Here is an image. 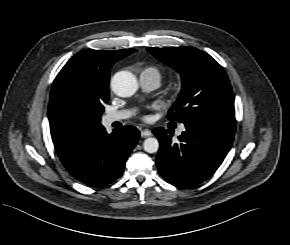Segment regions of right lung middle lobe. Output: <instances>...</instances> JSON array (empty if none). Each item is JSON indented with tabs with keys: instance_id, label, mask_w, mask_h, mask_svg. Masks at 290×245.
Segmentation results:
<instances>
[{
	"instance_id": "1",
	"label": "right lung middle lobe",
	"mask_w": 290,
	"mask_h": 245,
	"mask_svg": "<svg viewBox=\"0 0 290 245\" xmlns=\"http://www.w3.org/2000/svg\"><path fill=\"white\" fill-rule=\"evenodd\" d=\"M109 74L104 78L75 77L68 84L69 94L94 117L100 119L108 101Z\"/></svg>"
}]
</instances>
